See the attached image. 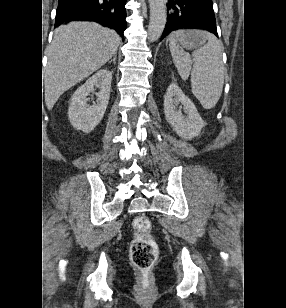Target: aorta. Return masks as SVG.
Listing matches in <instances>:
<instances>
[{"instance_id": "1", "label": "aorta", "mask_w": 286, "mask_h": 308, "mask_svg": "<svg viewBox=\"0 0 286 308\" xmlns=\"http://www.w3.org/2000/svg\"><path fill=\"white\" fill-rule=\"evenodd\" d=\"M150 7V22L148 25V40L157 41L165 28L167 22V11L165 0H148Z\"/></svg>"}]
</instances>
